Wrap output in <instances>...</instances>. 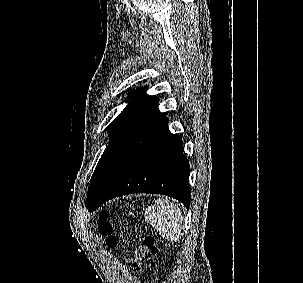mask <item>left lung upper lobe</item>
<instances>
[{
  "mask_svg": "<svg viewBox=\"0 0 303 283\" xmlns=\"http://www.w3.org/2000/svg\"><path fill=\"white\" fill-rule=\"evenodd\" d=\"M130 97L128 105L109 126L111 140L92 175L87 197L94 194L103 184L120 152L157 99L139 88L132 91Z\"/></svg>",
  "mask_w": 303,
  "mask_h": 283,
  "instance_id": "5c2ea615",
  "label": "left lung upper lobe"
}]
</instances>
